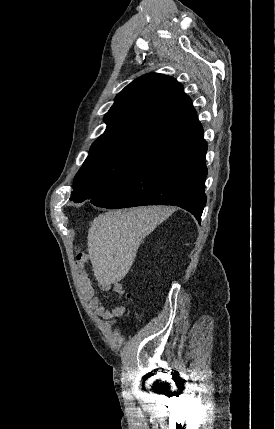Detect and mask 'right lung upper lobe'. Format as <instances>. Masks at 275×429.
<instances>
[{
    "instance_id": "cb5924a9",
    "label": "right lung upper lobe",
    "mask_w": 275,
    "mask_h": 429,
    "mask_svg": "<svg viewBox=\"0 0 275 429\" xmlns=\"http://www.w3.org/2000/svg\"><path fill=\"white\" fill-rule=\"evenodd\" d=\"M105 132L90 154L122 148L153 156L163 148L203 130L182 85L150 73L126 86L104 116Z\"/></svg>"
}]
</instances>
